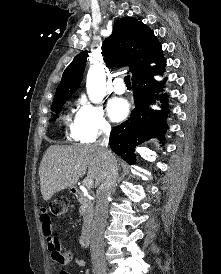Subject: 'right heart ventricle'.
Segmentation results:
<instances>
[{
  "instance_id": "1",
  "label": "right heart ventricle",
  "mask_w": 221,
  "mask_h": 274,
  "mask_svg": "<svg viewBox=\"0 0 221 274\" xmlns=\"http://www.w3.org/2000/svg\"><path fill=\"white\" fill-rule=\"evenodd\" d=\"M65 121H66V123H70L71 119H70V116H69V115H66Z\"/></svg>"
}]
</instances>
